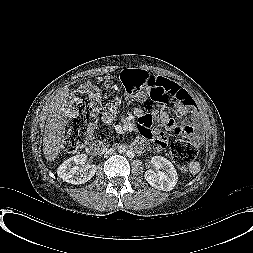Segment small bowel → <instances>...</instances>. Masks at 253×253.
<instances>
[{
	"label": "small bowel",
	"mask_w": 253,
	"mask_h": 253,
	"mask_svg": "<svg viewBox=\"0 0 253 253\" xmlns=\"http://www.w3.org/2000/svg\"><path fill=\"white\" fill-rule=\"evenodd\" d=\"M177 85V84H176ZM178 86V100L174 104V110L179 117L191 116V118L197 121L200 118V114L192 107V98L188 92L182 87ZM116 106L110 104L103 112V120L109 124L113 121L116 114ZM135 116L138 118L137 128L140 134L146 138L153 139L154 148L158 151L163 150L167 144V138L160 132L159 126L164 127L168 131H175L177 133H184L186 135H193V127L191 124H178L176 119L166 110L159 112L156 118L151 115L144 114L142 109L136 108L134 110Z\"/></svg>",
	"instance_id": "small-bowel-1"
}]
</instances>
